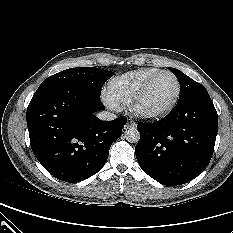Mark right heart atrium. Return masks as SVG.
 Segmentation results:
<instances>
[{"label": "right heart atrium", "mask_w": 233, "mask_h": 233, "mask_svg": "<svg viewBox=\"0 0 233 233\" xmlns=\"http://www.w3.org/2000/svg\"><path fill=\"white\" fill-rule=\"evenodd\" d=\"M103 100L111 108L118 107V103L108 93L103 94Z\"/></svg>", "instance_id": "1"}]
</instances>
